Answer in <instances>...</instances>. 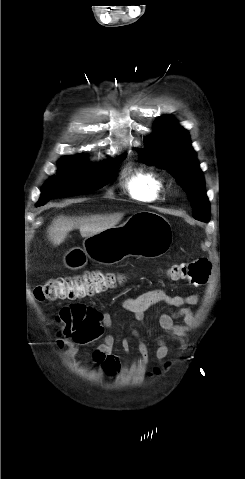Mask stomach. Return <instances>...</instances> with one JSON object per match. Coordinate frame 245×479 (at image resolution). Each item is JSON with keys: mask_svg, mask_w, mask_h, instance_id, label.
I'll list each match as a JSON object with an SVG mask.
<instances>
[{"mask_svg": "<svg viewBox=\"0 0 245 479\" xmlns=\"http://www.w3.org/2000/svg\"><path fill=\"white\" fill-rule=\"evenodd\" d=\"M172 243V228L162 215L152 211L133 214L122 225L107 229L83 241L64 256L70 269L85 266L88 258L104 265L117 264L127 257L157 258Z\"/></svg>", "mask_w": 245, "mask_h": 479, "instance_id": "0dacf381", "label": "stomach"}]
</instances>
